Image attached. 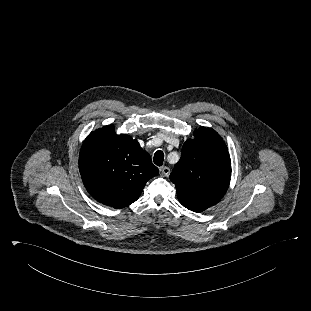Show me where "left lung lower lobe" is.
<instances>
[{
	"label": "left lung lower lobe",
	"instance_id": "obj_1",
	"mask_svg": "<svg viewBox=\"0 0 311 311\" xmlns=\"http://www.w3.org/2000/svg\"><path fill=\"white\" fill-rule=\"evenodd\" d=\"M178 199L184 207H186L187 209L192 210L194 212H201V211L210 207V205H207V204L194 203V202H190V201L181 199L179 197H178Z\"/></svg>",
	"mask_w": 311,
	"mask_h": 311
}]
</instances>
